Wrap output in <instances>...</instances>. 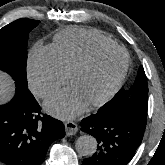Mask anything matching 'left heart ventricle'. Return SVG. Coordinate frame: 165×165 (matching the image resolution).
Here are the masks:
<instances>
[{
    "mask_svg": "<svg viewBox=\"0 0 165 165\" xmlns=\"http://www.w3.org/2000/svg\"><path fill=\"white\" fill-rule=\"evenodd\" d=\"M124 55L119 51H107L80 72L73 82L87 103L100 98L112 85L124 66Z\"/></svg>",
    "mask_w": 165,
    "mask_h": 165,
    "instance_id": "1",
    "label": "left heart ventricle"
}]
</instances>
